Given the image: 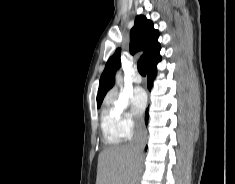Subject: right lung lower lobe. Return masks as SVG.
I'll return each mask as SVG.
<instances>
[{
  "mask_svg": "<svg viewBox=\"0 0 235 184\" xmlns=\"http://www.w3.org/2000/svg\"><path fill=\"white\" fill-rule=\"evenodd\" d=\"M159 61H157L156 63H154V64H152V65H150V66H148L146 68V72H147V84H148V89L149 90L152 88V82H153V79L155 78L156 73H157L156 65H157V63ZM148 118H149V114H148V109H147L146 113H145V123H146V125L148 123ZM146 149H147V147H146Z\"/></svg>",
  "mask_w": 235,
  "mask_h": 184,
  "instance_id": "1",
  "label": "right lung lower lobe"
}]
</instances>
